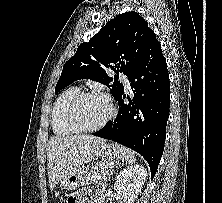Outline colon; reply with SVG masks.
Segmentation results:
<instances>
[{
	"label": "colon",
	"mask_w": 222,
	"mask_h": 203,
	"mask_svg": "<svg viewBox=\"0 0 222 203\" xmlns=\"http://www.w3.org/2000/svg\"><path fill=\"white\" fill-rule=\"evenodd\" d=\"M68 203H72V197L68 199Z\"/></svg>",
	"instance_id": "5ec220e1"
}]
</instances>
